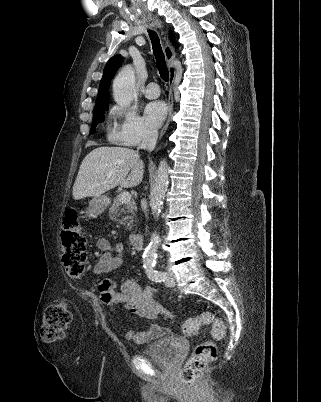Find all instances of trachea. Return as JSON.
<instances>
[{
	"instance_id": "3493384b",
	"label": "trachea",
	"mask_w": 321,
	"mask_h": 402,
	"mask_svg": "<svg viewBox=\"0 0 321 402\" xmlns=\"http://www.w3.org/2000/svg\"><path fill=\"white\" fill-rule=\"evenodd\" d=\"M149 32V37L152 43V49H153V53L155 55V59H156V63H157V68L159 70V74L161 76V78L167 82L168 78H169V72H168V68L166 66V62H165V56L164 53L162 51V47L160 44V39L157 35L156 32L152 31V30H148Z\"/></svg>"
}]
</instances>
